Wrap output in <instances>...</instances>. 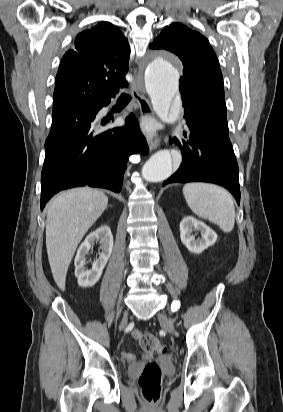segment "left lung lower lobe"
I'll return each instance as SVG.
<instances>
[{"mask_svg":"<svg viewBox=\"0 0 283 412\" xmlns=\"http://www.w3.org/2000/svg\"><path fill=\"white\" fill-rule=\"evenodd\" d=\"M185 108V119L190 133L181 142L173 138L181 149L183 161L179 169L163 186L180 182H210L228 189L240 204L239 175L236 157L228 136V125L213 124L195 110Z\"/></svg>","mask_w":283,"mask_h":412,"instance_id":"obj_1","label":"left lung lower lobe"}]
</instances>
